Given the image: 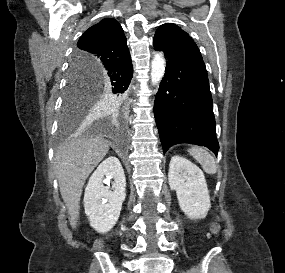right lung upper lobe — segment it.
<instances>
[{
  "label": "right lung upper lobe",
  "mask_w": 285,
  "mask_h": 273,
  "mask_svg": "<svg viewBox=\"0 0 285 273\" xmlns=\"http://www.w3.org/2000/svg\"><path fill=\"white\" fill-rule=\"evenodd\" d=\"M128 56L130 53L121 25L115 19L105 18L80 37L71 67L77 74H90L94 79L97 69Z\"/></svg>",
  "instance_id": "right-lung-upper-lobe-1"
}]
</instances>
